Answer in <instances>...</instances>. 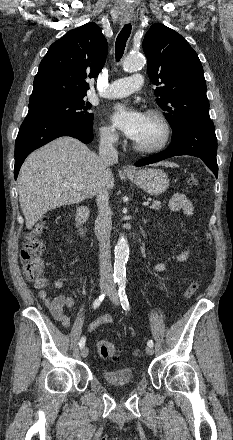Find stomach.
Listing matches in <instances>:
<instances>
[{
	"instance_id": "1",
	"label": "stomach",
	"mask_w": 233,
	"mask_h": 440,
	"mask_svg": "<svg viewBox=\"0 0 233 440\" xmlns=\"http://www.w3.org/2000/svg\"><path fill=\"white\" fill-rule=\"evenodd\" d=\"M127 178L150 195H160L169 187V179L161 169H141L135 175L127 174Z\"/></svg>"
}]
</instances>
